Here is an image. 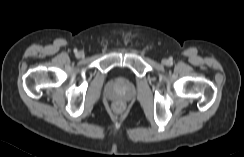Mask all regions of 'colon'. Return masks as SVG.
<instances>
[{
  "label": "colon",
  "mask_w": 244,
  "mask_h": 157,
  "mask_svg": "<svg viewBox=\"0 0 244 157\" xmlns=\"http://www.w3.org/2000/svg\"><path fill=\"white\" fill-rule=\"evenodd\" d=\"M114 109L115 111L117 112H121L123 109H124V104L122 101H117L115 104H114Z\"/></svg>",
  "instance_id": "colon-1"
}]
</instances>
